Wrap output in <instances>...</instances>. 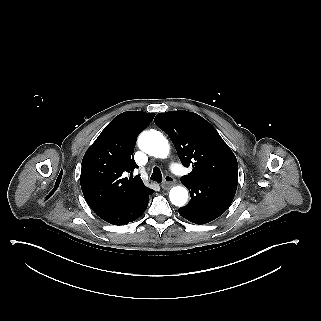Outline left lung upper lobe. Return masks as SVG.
Returning <instances> with one entry per match:
<instances>
[{
  "label": "left lung upper lobe",
  "instance_id": "left-lung-upper-lobe-1",
  "mask_svg": "<svg viewBox=\"0 0 321 321\" xmlns=\"http://www.w3.org/2000/svg\"><path fill=\"white\" fill-rule=\"evenodd\" d=\"M155 123L169 135L182 164L192 166L181 182L238 177L235 155L217 130L198 114L184 110L159 113Z\"/></svg>",
  "mask_w": 321,
  "mask_h": 321
}]
</instances>
